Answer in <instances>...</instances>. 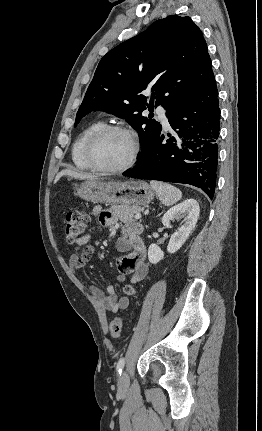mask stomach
Returning a JSON list of instances; mask_svg holds the SVG:
<instances>
[{"label":"stomach","instance_id":"1","mask_svg":"<svg viewBox=\"0 0 262 431\" xmlns=\"http://www.w3.org/2000/svg\"><path fill=\"white\" fill-rule=\"evenodd\" d=\"M75 195L94 203L121 204L126 206H144L154 196L152 187L142 180L102 181L87 180L75 190Z\"/></svg>","mask_w":262,"mask_h":431}]
</instances>
